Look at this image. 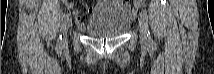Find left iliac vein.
<instances>
[{"instance_id": "1", "label": "left iliac vein", "mask_w": 214, "mask_h": 74, "mask_svg": "<svg viewBox=\"0 0 214 74\" xmlns=\"http://www.w3.org/2000/svg\"><path fill=\"white\" fill-rule=\"evenodd\" d=\"M138 21H139V27H140L141 42L146 45L149 41L147 23L145 21V18L142 15H140Z\"/></svg>"}]
</instances>
